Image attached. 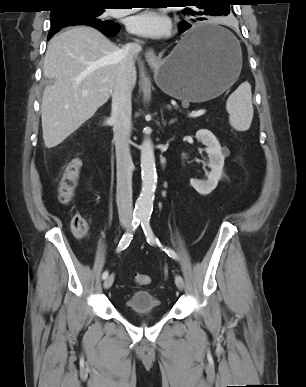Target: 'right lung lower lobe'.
I'll use <instances>...</instances> for the list:
<instances>
[{
	"mask_svg": "<svg viewBox=\"0 0 306 387\" xmlns=\"http://www.w3.org/2000/svg\"><path fill=\"white\" fill-rule=\"evenodd\" d=\"M119 29H120V26L118 24L116 27H102V28H99L98 30H100L104 35L108 37H112L118 34ZM55 33H57V31L50 32L48 34V39H50Z\"/></svg>",
	"mask_w": 306,
	"mask_h": 387,
	"instance_id": "98d812e1",
	"label": "right lung lower lobe"
}]
</instances>
